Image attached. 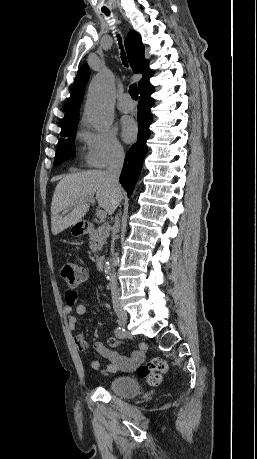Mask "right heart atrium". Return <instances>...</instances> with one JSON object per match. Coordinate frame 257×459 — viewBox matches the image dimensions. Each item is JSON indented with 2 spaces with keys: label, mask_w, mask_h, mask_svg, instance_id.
I'll return each mask as SVG.
<instances>
[{
  "label": "right heart atrium",
  "mask_w": 257,
  "mask_h": 459,
  "mask_svg": "<svg viewBox=\"0 0 257 459\" xmlns=\"http://www.w3.org/2000/svg\"><path fill=\"white\" fill-rule=\"evenodd\" d=\"M80 136L87 148V163L92 167L103 168L124 155L123 146L111 129L94 131L83 125Z\"/></svg>",
  "instance_id": "1"
}]
</instances>
